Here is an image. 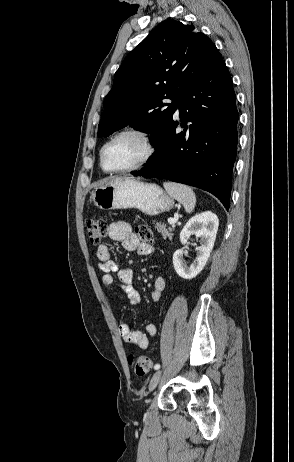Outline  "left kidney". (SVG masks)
Here are the masks:
<instances>
[{"mask_svg": "<svg viewBox=\"0 0 294 462\" xmlns=\"http://www.w3.org/2000/svg\"><path fill=\"white\" fill-rule=\"evenodd\" d=\"M218 226V217L210 211L197 214L188 220L180 233V241L184 245L191 235H196L200 238V246L197 247V257L190 266L183 259L182 249L174 252V269L181 278L192 279L202 271L213 249Z\"/></svg>", "mask_w": 294, "mask_h": 462, "instance_id": "5707ae66", "label": "left kidney"}]
</instances>
